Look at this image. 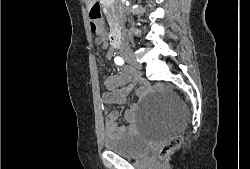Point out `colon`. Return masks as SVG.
Masks as SVG:
<instances>
[{
  "label": "colon",
  "mask_w": 250,
  "mask_h": 169,
  "mask_svg": "<svg viewBox=\"0 0 250 169\" xmlns=\"http://www.w3.org/2000/svg\"><path fill=\"white\" fill-rule=\"evenodd\" d=\"M89 18L92 32L101 33L103 22L100 8L96 6L92 7L89 10ZM179 146H183L181 135L166 138V141H163V145H160V150H158V160H167V156L171 155L173 150H179Z\"/></svg>",
  "instance_id": "colon-1"
}]
</instances>
